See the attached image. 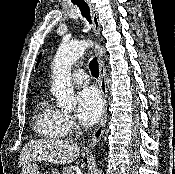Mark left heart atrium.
I'll list each match as a JSON object with an SVG mask.
<instances>
[{
	"mask_svg": "<svg viewBox=\"0 0 175 174\" xmlns=\"http://www.w3.org/2000/svg\"><path fill=\"white\" fill-rule=\"evenodd\" d=\"M77 118L83 125H93L102 112V98L94 87H85L77 95Z\"/></svg>",
	"mask_w": 175,
	"mask_h": 174,
	"instance_id": "left-heart-atrium-1",
	"label": "left heart atrium"
}]
</instances>
